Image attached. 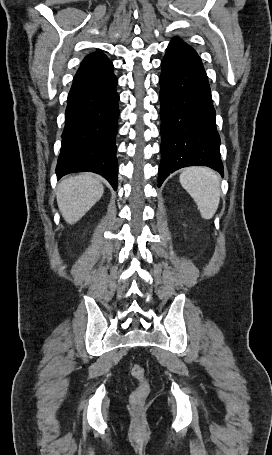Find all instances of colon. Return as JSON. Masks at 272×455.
<instances>
[{"instance_id":"colon-1","label":"colon","mask_w":272,"mask_h":455,"mask_svg":"<svg viewBox=\"0 0 272 455\" xmlns=\"http://www.w3.org/2000/svg\"><path fill=\"white\" fill-rule=\"evenodd\" d=\"M132 376L138 380L139 385L131 394V403L134 407H140L149 393V384L147 382L144 368L135 364L131 368Z\"/></svg>"}]
</instances>
